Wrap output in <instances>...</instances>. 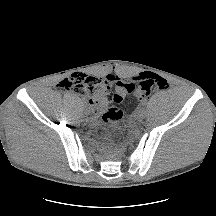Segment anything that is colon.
Segmentation results:
<instances>
[{"instance_id": "1", "label": "colon", "mask_w": 216, "mask_h": 216, "mask_svg": "<svg viewBox=\"0 0 216 216\" xmlns=\"http://www.w3.org/2000/svg\"><path fill=\"white\" fill-rule=\"evenodd\" d=\"M60 86L89 99L97 112L102 111L103 124L112 126L123 117L121 104L126 94L134 93L142 100L147 98L154 88L167 89L168 83L158 75L145 73L135 78L133 82H117L113 90L107 78L78 74L64 79Z\"/></svg>"}]
</instances>
